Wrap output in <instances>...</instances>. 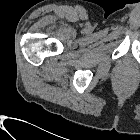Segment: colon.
Masks as SVG:
<instances>
[{"label":"colon","mask_w":140,"mask_h":140,"mask_svg":"<svg viewBox=\"0 0 140 140\" xmlns=\"http://www.w3.org/2000/svg\"><path fill=\"white\" fill-rule=\"evenodd\" d=\"M118 87L120 90H125L128 87V82L127 81H120L118 83Z\"/></svg>","instance_id":"obj_1"}]
</instances>
